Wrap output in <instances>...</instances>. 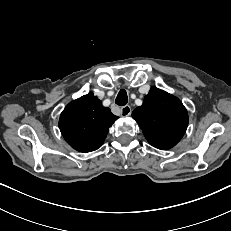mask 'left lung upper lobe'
Masks as SVG:
<instances>
[{
  "label": "left lung upper lobe",
  "instance_id": "left-lung-upper-lobe-1",
  "mask_svg": "<svg viewBox=\"0 0 231 231\" xmlns=\"http://www.w3.org/2000/svg\"><path fill=\"white\" fill-rule=\"evenodd\" d=\"M145 138L155 148L166 150L175 146L188 126L187 110L175 96L152 87L143 105L132 112Z\"/></svg>",
  "mask_w": 231,
  "mask_h": 231
}]
</instances>
